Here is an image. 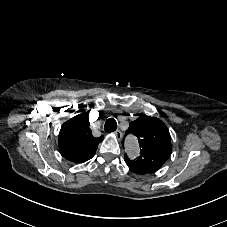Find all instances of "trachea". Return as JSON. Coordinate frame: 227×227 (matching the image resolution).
Here are the masks:
<instances>
[{
  "label": "trachea",
  "mask_w": 227,
  "mask_h": 227,
  "mask_svg": "<svg viewBox=\"0 0 227 227\" xmlns=\"http://www.w3.org/2000/svg\"><path fill=\"white\" fill-rule=\"evenodd\" d=\"M105 132L106 133H112L114 131H116L117 129V122L114 118H109L106 122H105Z\"/></svg>",
  "instance_id": "1"
}]
</instances>
